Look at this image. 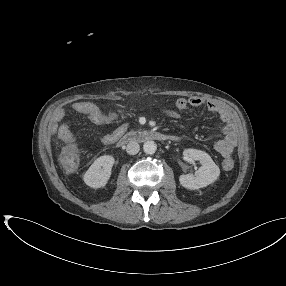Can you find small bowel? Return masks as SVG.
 Segmentation results:
<instances>
[{"instance_id": "obj_1", "label": "small bowel", "mask_w": 286, "mask_h": 286, "mask_svg": "<svg viewBox=\"0 0 286 286\" xmlns=\"http://www.w3.org/2000/svg\"><path fill=\"white\" fill-rule=\"evenodd\" d=\"M201 106H205L208 111L217 114L224 123V138L215 144V149L223 157L228 158L238 144V134L235 130L231 113L227 107L213 101H207L198 96H193L190 98L177 99L174 109L164 110L163 112L172 118H179L180 112L188 107ZM71 108L74 112L86 116L92 123L100 126L116 122L125 113V110L123 109H115L105 112L99 106L89 101H76L72 103ZM66 115L67 112L63 108H59L54 112L52 116L54 121L53 130L60 138L68 137L74 141L75 137L71 133L70 127L62 123ZM127 128L128 124L124 122L110 133L98 137L96 141L104 145L114 144L126 132Z\"/></svg>"}]
</instances>
